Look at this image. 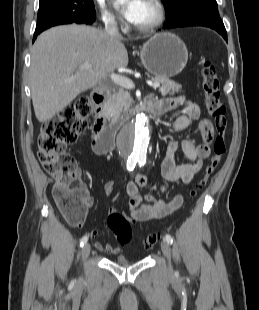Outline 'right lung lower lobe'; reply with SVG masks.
Wrapping results in <instances>:
<instances>
[{"instance_id":"98d812e1","label":"right lung lower lobe","mask_w":259,"mask_h":310,"mask_svg":"<svg viewBox=\"0 0 259 310\" xmlns=\"http://www.w3.org/2000/svg\"><path fill=\"white\" fill-rule=\"evenodd\" d=\"M94 20H95V14L91 15L87 19L80 20V21H71V20H63V19L53 20V21L49 22L48 24H46L44 27L35 30V33L33 36V42L37 38L38 34H40L44 30H46L52 26L61 25V24H70V23H92Z\"/></svg>"}]
</instances>
